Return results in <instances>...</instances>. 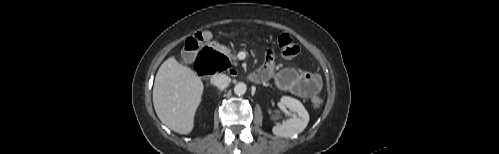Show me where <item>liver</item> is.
Segmentation results:
<instances>
[{"label":"liver","instance_id":"obj_1","mask_svg":"<svg viewBox=\"0 0 499 154\" xmlns=\"http://www.w3.org/2000/svg\"><path fill=\"white\" fill-rule=\"evenodd\" d=\"M203 82L190 68L170 57L160 66L153 86V104L158 118L179 134H189L201 102Z\"/></svg>","mask_w":499,"mask_h":154}]
</instances>
